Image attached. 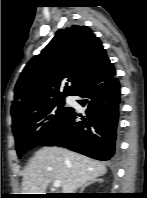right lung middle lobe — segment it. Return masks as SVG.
Wrapping results in <instances>:
<instances>
[{
  "label": "right lung middle lobe",
  "mask_w": 147,
  "mask_h": 198,
  "mask_svg": "<svg viewBox=\"0 0 147 198\" xmlns=\"http://www.w3.org/2000/svg\"><path fill=\"white\" fill-rule=\"evenodd\" d=\"M59 99L41 106L13 122L16 151L20 157L54 134L64 123L72 108Z\"/></svg>",
  "instance_id": "right-lung-middle-lobe-1"
}]
</instances>
